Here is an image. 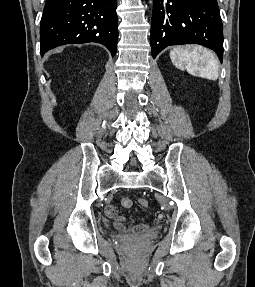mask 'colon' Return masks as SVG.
<instances>
[{
    "label": "colon",
    "instance_id": "colon-1",
    "mask_svg": "<svg viewBox=\"0 0 255 287\" xmlns=\"http://www.w3.org/2000/svg\"><path fill=\"white\" fill-rule=\"evenodd\" d=\"M139 204L142 207H147L148 206V201L146 199H139Z\"/></svg>",
    "mask_w": 255,
    "mask_h": 287
}]
</instances>
